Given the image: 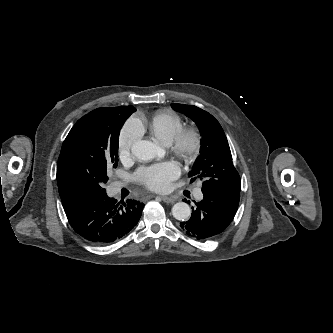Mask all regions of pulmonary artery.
<instances>
[{"mask_svg": "<svg viewBox=\"0 0 333 333\" xmlns=\"http://www.w3.org/2000/svg\"><path fill=\"white\" fill-rule=\"evenodd\" d=\"M119 189H120V184L115 183L114 186H113V190L114 191H118ZM195 198L197 200H201L203 198V195H202V193H201V191L199 189L195 193Z\"/></svg>", "mask_w": 333, "mask_h": 333, "instance_id": "obj_1", "label": "pulmonary artery"}]
</instances>
